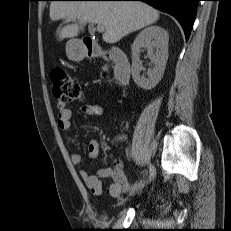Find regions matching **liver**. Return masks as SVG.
<instances>
[{
  "instance_id": "obj_1",
  "label": "liver",
  "mask_w": 231,
  "mask_h": 231,
  "mask_svg": "<svg viewBox=\"0 0 231 231\" xmlns=\"http://www.w3.org/2000/svg\"><path fill=\"white\" fill-rule=\"evenodd\" d=\"M52 21L65 19L77 23L64 26L57 33L59 40L76 37L87 23L104 26L103 40L114 44L159 19L153 7L135 1H54L50 4Z\"/></svg>"
}]
</instances>
